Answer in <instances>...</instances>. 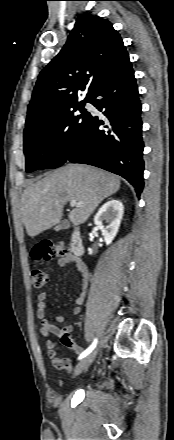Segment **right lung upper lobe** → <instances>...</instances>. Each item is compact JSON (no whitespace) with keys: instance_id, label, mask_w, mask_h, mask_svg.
I'll use <instances>...</instances> for the list:
<instances>
[{"instance_id":"obj_1","label":"right lung upper lobe","mask_w":174,"mask_h":440,"mask_svg":"<svg viewBox=\"0 0 174 440\" xmlns=\"http://www.w3.org/2000/svg\"><path fill=\"white\" fill-rule=\"evenodd\" d=\"M127 61L123 41L108 20L80 15L65 46L38 77L24 132L78 104L86 87L83 101L89 100L102 81Z\"/></svg>"}]
</instances>
